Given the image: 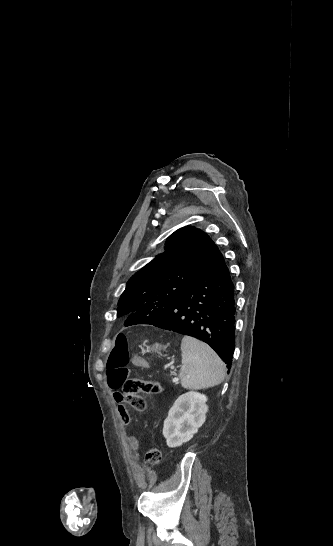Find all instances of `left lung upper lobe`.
<instances>
[{
    "instance_id": "obj_1",
    "label": "left lung upper lobe",
    "mask_w": 333,
    "mask_h": 546,
    "mask_svg": "<svg viewBox=\"0 0 333 546\" xmlns=\"http://www.w3.org/2000/svg\"><path fill=\"white\" fill-rule=\"evenodd\" d=\"M214 242L200 229L180 228L159 254L127 282L117 316L139 313L144 323H153L191 285L208 260Z\"/></svg>"
}]
</instances>
